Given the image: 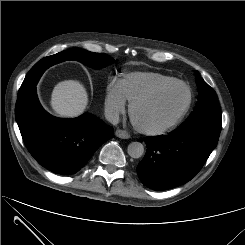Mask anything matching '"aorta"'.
I'll return each mask as SVG.
<instances>
[{
	"mask_svg": "<svg viewBox=\"0 0 245 245\" xmlns=\"http://www.w3.org/2000/svg\"><path fill=\"white\" fill-rule=\"evenodd\" d=\"M127 152L132 158H140L144 153V146L140 142H132L128 145Z\"/></svg>",
	"mask_w": 245,
	"mask_h": 245,
	"instance_id": "aorta-1",
	"label": "aorta"
}]
</instances>
